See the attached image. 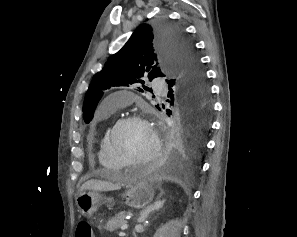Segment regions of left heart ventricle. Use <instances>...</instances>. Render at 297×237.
<instances>
[{
	"mask_svg": "<svg viewBox=\"0 0 297 237\" xmlns=\"http://www.w3.org/2000/svg\"><path fill=\"white\" fill-rule=\"evenodd\" d=\"M115 144L124 157L138 161L151 153L153 137L146 125L128 123L123 125L115 134Z\"/></svg>",
	"mask_w": 297,
	"mask_h": 237,
	"instance_id": "1",
	"label": "left heart ventricle"
}]
</instances>
